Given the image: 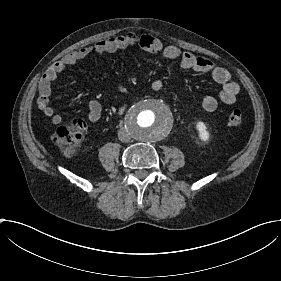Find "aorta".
Instances as JSON below:
<instances>
[{
	"label": "aorta",
	"mask_w": 281,
	"mask_h": 281,
	"mask_svg": "<svg viewBox=\"0 0 281 281\" xmlns=\"http://www.w3.org/2000/svg\"><path fill=\"white\" fill-rule=\"evenodd\" d=\"M173 115L163 102L147 99L133 105L126 115L129 134L142 142L165 138L171 131Z\"/></svg>",
	"instance_id": "1"
}]
</instances>
